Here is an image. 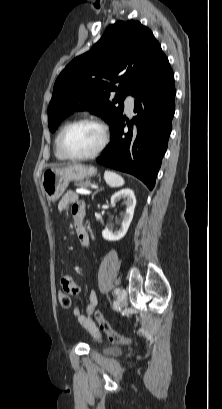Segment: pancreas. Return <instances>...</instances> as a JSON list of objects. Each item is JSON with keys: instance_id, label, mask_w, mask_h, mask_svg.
<instances>
[{"instance_id": "1", "label": "pancreas", "mask_w": 222, "mask_h": 409, "mask_svg": "<svg viewBox=\"0 0 222 409\" xmlns=\"http://www.w3.org/2000/svg\"><path fill=\"white\" fill-rule=\"evenodd\" d=\"M91 184H92V183H91L90 180H86L85 182H81L80 184H78V186H79L80 188L86 189V188H88Z\"/></svg>"}]
</instances>
